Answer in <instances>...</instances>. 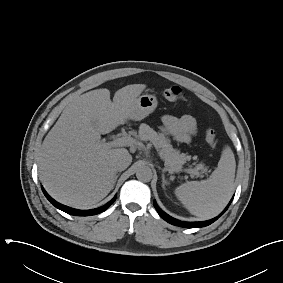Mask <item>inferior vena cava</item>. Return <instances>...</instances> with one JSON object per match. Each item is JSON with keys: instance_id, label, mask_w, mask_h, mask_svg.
Returning a JSON list of instances; mask_svg holds the SVG:
<instances>
[{"instance_id": "602c4592", "label": "inferior vena cava", "mask_w": 283, "mask_h": 283, "mask_svg": "<svg viewBox=\"0 0 283 283\" xmlns=\"http://www.w3.org/2000/svg\"><path fill=\"white\" fill-rule=\"evenodd\" d=\"M131 162L132 156L129 153L120 154L114 160L115 168L118 171L125 170Z\"/></svg>"}]
</instances>
